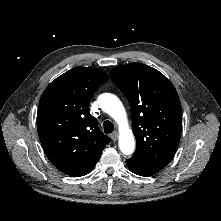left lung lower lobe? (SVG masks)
<instances>
[{
	"instance_id": "1",
	"label": "left lung lower lobe",
	"mask_w": 221,
	"mask_h": 221,
	"mask_svg": "<svg viewBox=\"0 0 221 221\" xmlns=\"http://www.w3.org/2000/svg\"><path fill=\"white\" fill-rule=\"evenodd\" d=\"M126 164L133 173L140 176H150L162 169L159 167L151 166L132 157L126 160Z\"/></svg>"
}]
</instances>
